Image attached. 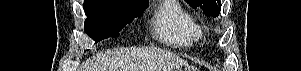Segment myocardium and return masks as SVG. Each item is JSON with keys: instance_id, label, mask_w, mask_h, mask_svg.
<instances>
[{"instance_id": "1", "label": "myocardium", "mask_w": 301, "mask_h": 71, "mask_svg": "<svg viewBox=\"0 0 301 71\" xmlns=\"http://www.w3.org/2000/svg\"><path fill=\"white\" fill-rule=\"evenodd\" d=\"M200 33H201V34H203V33H204V31H203L202 29H200Z\"/></svg>"}]
</instances>
